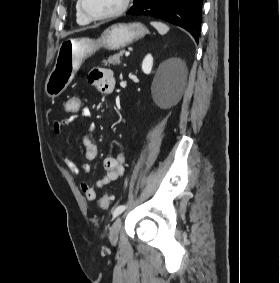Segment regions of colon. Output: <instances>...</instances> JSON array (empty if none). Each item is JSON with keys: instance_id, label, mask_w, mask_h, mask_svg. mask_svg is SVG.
Instances as JSON below:
<instances>
[{"instance_id": "obj_1", "label": "colon", "mask_w": 280, "mask_h": 283, "mask_svg": "<svg viewBox=\"0 0 280 283\" xmlns=\"http://www.w3.org/2000/svg\"><path fill=\"white\" fill-rule=\"evenodd\" d=\"M65 112H82V97L81 94H70V97L65 99ZM110 205V197L104 194L100 199V207L103 210L108 209Z\"/></svg>"}]
</instances>
